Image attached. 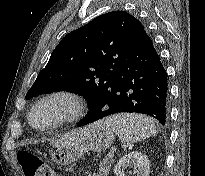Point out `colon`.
I'll use <instances>...</instances> for the list:
<instances>
[{"instance_id":"obj_1","label":"colon","mask_w":205,"mask_h":176,"mask_svg":"<svg viewBox=\"0 0 205 176\" xmlns=\"http://www.w3.org/2000/svg\"><path fill=\"white\" fill-rule=\"evenodd\" d=\"M17 162L22 169L23 176H52L50 167L31 151H19Z\"/></svg>"}]
</instances>
